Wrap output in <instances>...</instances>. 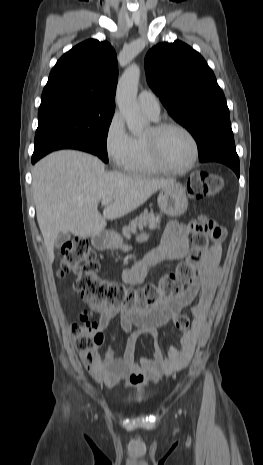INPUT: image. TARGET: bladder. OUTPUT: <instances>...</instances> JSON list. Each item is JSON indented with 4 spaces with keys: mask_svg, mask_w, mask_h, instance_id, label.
<instances>
[{
    "mask_svg": "<svg viewBox=\"0 0 263 465\" xmlns=\"http://www.w3.org/2000/svg\"><path fill=\"white\" fill-rule=\"evenodd\" d=\"M147 399L146 395L139 393L134 396L129 397L126 400V404L129 406H135L143 403Z\"/></svg>",
    "mask_w": 263,
    "mask_h": 465,
    "instance_id": "obj_1",
    "label": "bladder"
}]
</instances>
